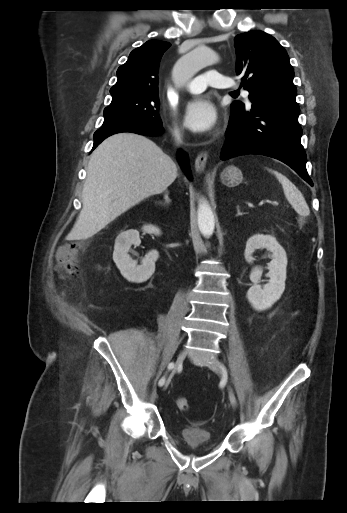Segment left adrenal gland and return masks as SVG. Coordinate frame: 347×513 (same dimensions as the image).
<instances>
[{"label": "left adrenal gland", "instance_id": "left-adrenal-gland-1", "mask_svg": "<svg viewBox=\"0 0 347 513\" xmlns=\"http://www.w3.org/2000/svg\"><path fill=\"white\" fill-rule=\"evenodd\" d=\"M236 209H237V214H236V216H240V215H242V212H241V210H240V206H239V205H237V206H236Z\"/></svg>", "mask_w": 347, "mask_h": 513}]
</instances>
